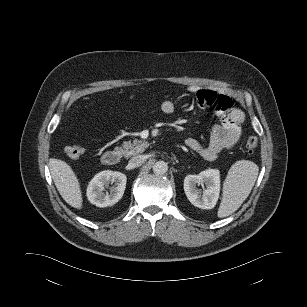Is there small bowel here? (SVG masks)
I'll list each match as a JSON object with an SVG mask.
<instances>
[{"instance_id":"c3829d8e","label":"small bowel","mask_w":307,"mask_h":307,"mask_svg":"<svg viewBox=\"0 0 307 307\" xmlns=\"http://www.w3.org/2000/svg\"><path fill=\"white\" fill-rule=\"evenodd\" d=\"M195 93L199 105L210 108L213 113L221 118V124L214 127L209 143L202 144L195 138H188L186 146L197 152L206 160H214L225 150L234 148L242 135V123L244 114L239 108H233V101L230 97L209 90H197L194 87L189 89ZM161 110L165 114H171L175 110V104L171 100L161 103ZM229 111V112H228Z\"/></svg>"}]
</instances>
